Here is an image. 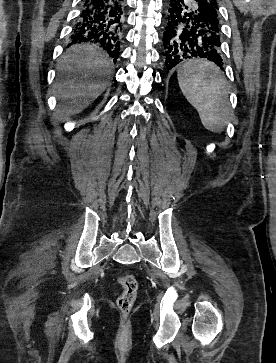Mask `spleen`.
<instances>
[{"label":"spleen","instance_id":"1","mask_svg":"<svg viewBox=\"0 0 276 363\" xmlns=\"http://www.w3.org/2000/svg\"><path fill=\"white\" fill-rule=\"evenodd\" d=\"M177 77L183 95L197 110L203 126L220 133L229 115V89L220 69L206 59H193L178 69Z\"/></svg>","mask_w":276,"mask_h":363}]
</instances>
